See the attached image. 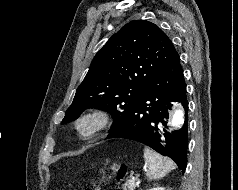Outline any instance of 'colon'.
Here are the masks:
<instances>
[{"instance_id": "1", "label": "colon", "mask_w": 238, "mask_h": 190, "mask_svg": "<svg viewBox=\"0 0 238 190\" xmlns=\"http://www.w3.org/2000/svg\"><path fill=\"white\" fill-rule=\"evenodd\" d=\"M111 168L118 179H123L127 175V167L124 164L116 163Z\"/></svg>"}]
</instances>
